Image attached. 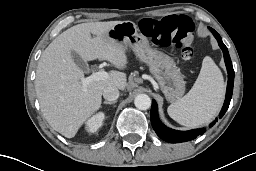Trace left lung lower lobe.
<instances>
[{
	"mask_svg": "<svg viewBox=\"0 0 256 171\" xmlns=\"http://www.w3.org/2000/svg\"><path fill=\"white\" fill-rule=\"evenodd\" d=\"M209 29L211 30V32L217 39L218 44L223 51L224 60H225V64H226L227 72H228V84H227L226 98H225V102L222 107V110L219 114V119H221L223 117V115L225 114V112L227 111L230 101H231V97H232V93H233V83H234V70H233L232 62H231L227 47L222 42L220 35L214 29H212L210 27H209ZM150 118H151L152 127L155 130L156 134L161 139H163L164 141L169 142V143H181V142H185V141H190V140L195 139L197 136L202 135L205 132V129H195V130H190V131H177V130H173V129L166 127L159 120L158 107L154 100H152ZM217 120L218 119H216L213 123H211L210 126H213Z\"/></svg>",
	"mask_w": 256,
	"mask_h": 171,
	"instance_id": "0a47b994",
	"label": "left lung lower lobe"
}]
</instances>
